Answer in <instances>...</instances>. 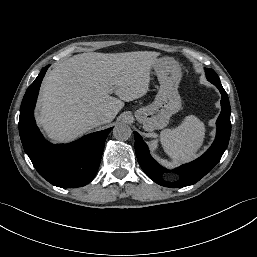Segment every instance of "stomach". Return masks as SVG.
<instances>
[{
    "label": "stomach",
    "mask_w": 257,
    "mask_h": 257,
    "mask_svg": "<svg viewBox=\"0 0 257 257\" xmlns=\"http://www.w3.org/2000/svg\"><path fill=\"white\" fill-rule=\"evenodd\" d=\"M160 83L155 100L149 106L136 111V119L146 131L164 128L169 118L182 107L178 92L181 70L175 60L169 57L157 59L153 66Z\"/></svg>",
    "instance_id": "obj_1"
}]
</instances>
